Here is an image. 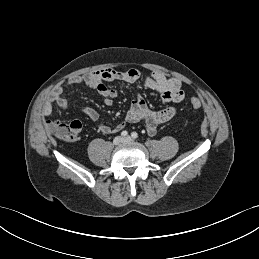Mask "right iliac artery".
<instances>
[{
    "mask_svg": "<svg viewBox=\"0 0 259 259\" xmlns=\"http://www.w3.org/2000/svg\"><path fill=\"white\" fill-rule=\"evenodd\" d=\"M121 135L125 137V136L128 135V132H127V131H122V132H121Z\"/></svg>",
    "mask_w": 259,
    "mask_h": 259,
    "instance_id": "obj_1",
    "label": "right iliac artery"
}]
</instances>
